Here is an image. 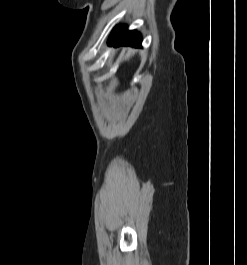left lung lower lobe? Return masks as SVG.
<instances>
[{"label": "left lung lower lobe", "instance_id": "left-lung-lower-lobe-1", "mask_svg": "<svg viewBox=\"0 0 247 265\" xmlns=\"http://www.w3.org/2000/svg\"><path fill=\"white\" fill-rule=\"evenodd\" d=\"M141 37L136 31H128L124 26H118L114 29L108 39V45L114 46H141Z\"/></svg>", "mask_w": 247, "mask_h": 265}]
</instances>
